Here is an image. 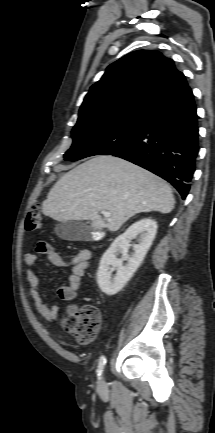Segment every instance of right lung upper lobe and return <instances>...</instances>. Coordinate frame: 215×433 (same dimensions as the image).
<instances>
[{
    "instance_id": "1",
    "label": "right lung upper lobe",
    "mask_w": 215,
    "mask_h": 433,
    "mask_svg": "<svg viewBox=\"0 0 215 433\" xmlns=\"http://www.w3.org/2000/svg\"><path fill=\"white\" fill-rule=\"evenodd\" d=\"M188 86L174 62L154 50H138L106 69L85 96L77 122L144 115Z\"/></svg>"
}]
</instances>
